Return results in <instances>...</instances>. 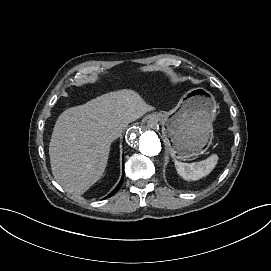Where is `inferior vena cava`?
<instances>
[{
    "mask_svg": "<svg viewBox=\"0 0 271 271\" xmlns=\"http://www.w3.org/2000/svg\"><path fill=\"white\" fill-rule=\"evenodd\" d=\"M121 132H122V131H120V132L117 133V134H113L112 137H113L114 139L118 138V137L120 136Z\"/></svg>",
    "mask_w": 271,
    "mask_h": 271,
    "instance_id": "602c4592",
    "label": "inferior vena cava"
}]
</instances>
